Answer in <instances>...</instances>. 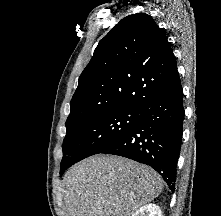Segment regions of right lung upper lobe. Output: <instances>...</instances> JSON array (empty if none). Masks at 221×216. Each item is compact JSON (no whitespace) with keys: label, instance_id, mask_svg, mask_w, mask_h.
Listing matches in <instances>:
<instances>
[{"label":"right lung upper lobe","instance_id":"right-lung-upper-lobe-1","mask_svg":"<svg viewBox=\"0 0 221 216\" xmlns=\"http://www.w3.org/2000/svg\"><path fill=\"white\" fill-rule=\"evenodd\" d=\"M178 76L165 33L145 13L122 19L79 77L66 126L104 111L140 108Z\"/></svg>","mask_w":221,"mask_h":216}]
</instances>
